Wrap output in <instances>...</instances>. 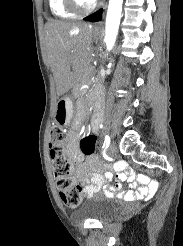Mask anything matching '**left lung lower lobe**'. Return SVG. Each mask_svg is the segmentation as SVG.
Instances as JSON below:
<instances>
[{"instance_id": "1", "label": "left lung lower lobe", "mask_w": 183, "mask_h": 246, "mask_svg": "<svg viewBox=\"0 0 183 246\" xmlns=\"http://www.w3.org/2000/svg\"><path fill=\"white\" fill-rule=\"evenodd\" d=\"M101 15H102V10H99V11L95 12L94 14H91V15L85 17L84 20L90 21V22H97L101 19Z\"/></svg>"}]
</instances>
